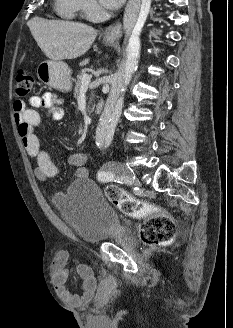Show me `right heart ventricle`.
<instances>
[{
  "label": "right heart ventricle",
  "mask_w": 233,
  "mask_h": 328,
  "mask_svg": "<svg viewBox=\"0 0 233 328\" xmlns=\"http://www.w3.org/2000/svg\"><path fill=\"white\" fill-rule=\"evenodd\" d=\"M56 10L59 14L67 18H73L79 12L77 0H56Z\"/></svg>",
  "instance_id": "right-heart-ventricle-1"
}]
</instances>
